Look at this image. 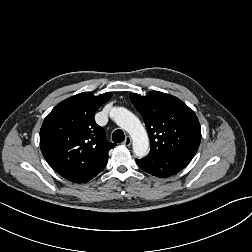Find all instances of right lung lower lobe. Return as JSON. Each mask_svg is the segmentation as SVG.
<instances>
[{
	"mask_svg": "<svg viewBox=\"0 0 252 252\" xmlns=\"http://www.w3.org/2000/svg\"><path fill=\"white\" fill-rule=\"evenodd\" d=\"M105 166L106 165H103V166L93 168L91 170L84 171L82 173H79L77 175H74V176L67 178V180L72 181V182H76V183L87 182V181L91 180L92 178H94L98 173H100L104 169Z\"/></svg>",
	"mask_w": 252,
	"mask_h": 252,
	"instance_id": "obj_1",
	"label": "right lung lower lobe"
}]
</instances>
